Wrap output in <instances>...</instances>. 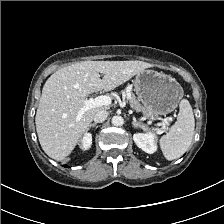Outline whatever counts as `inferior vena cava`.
I'll return each instance as SVG.
<instances>
[{
    "instance_id": "602c4592",
    "label": "inferior vena cava",
    "mask_w": 224,
    "mask_h": 224,
    "mask_svg": "<svg viewBox=\"0 0 224 224\" xmlns=\"http://www.w3.org/2000/svg\"><path fill=\"white\" fill-rule=\"evenodd\" d=\"M108 111L106 110H99L95 115H94V118L93 120L96 122V123H102L104 122L107 117H108Z\"/></svg>"
}]
</instances>
